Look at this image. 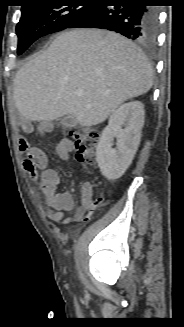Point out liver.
<instances>
[{
    "label": "liver",
    "mask_w": 184,
    "mask_h": 327,
    "mask_svg": "<svg viewBox=\"0 0 184 327\" xmlns=\"http://www.w3.org/2000/svg\"><path fill=\"white\" fill-rule=\"evenodd\" d=\"M152 85L153 68L132 41L110 31L76 29L60 34L18 70L14 100L26 120L72 115L91 127Z\"/></svg>",
    "instance_id": "liver-1"
}]
</instances>
